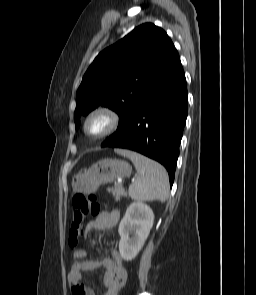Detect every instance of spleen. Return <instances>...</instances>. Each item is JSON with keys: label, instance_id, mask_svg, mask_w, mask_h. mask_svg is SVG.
I'll return each instance as SVG.
<instances>
[{"label": "spleen", "instance_id": "3e777b00", "mask_svg": "<svg viewBox=\"0 0 256 295\" xmlns=\"http://www.w3.org/2000/svg\"><path fill=\"white\" fill-rule=\"evenodd\" d=\"M118 153L130 158L139 173L129 187V196L137 201L165 202L169 195V178L165 168L136 152L119 150Z\"/></svg>", "mask_w": 256, "mask_h": 295}]
</instances>
